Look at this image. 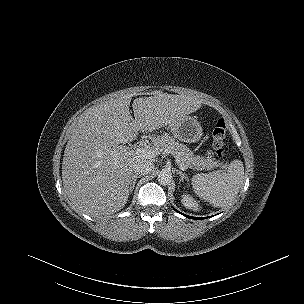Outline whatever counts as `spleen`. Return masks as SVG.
<instances>
[{
    "label": "spleen",
    "instance_id": "1",
    "mask_svg": "<svg viewBox=\"0 0 304 304\" xmlns=\"http://www.w3.org/2000/svg\"><path fill=\"white\" fill-rule=\"evenodd\" d=\"M244 182L242 161L234 160L226 172L217 171L210 174H197L192 177L194 193L214 207L229 205L239 193Z\"/></svg>",
    "mask_w": 304,
    "mask_h": 304
}]
</instances>
